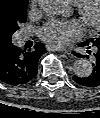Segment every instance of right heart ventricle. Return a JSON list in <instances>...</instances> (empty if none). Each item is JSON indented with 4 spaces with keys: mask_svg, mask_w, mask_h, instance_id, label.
I'll list each match as a JSON object with an SVG mask.
<instances>
[{
    "mask_svg": "<svg viewBox=\"0 0 100 118\" xmlns=\"http://www.w3.org/2000/svg\"><path fill=\"white\" fill-rule=\"evenodd\" d=\"M71 5H76L80 0H67Z\"/></svg>",
    "mask_w": 100,
    "mask_h": 118,
    "instance_id": "e07e8e85",
    "label": "right heart ventricle"
}]
</instances>
